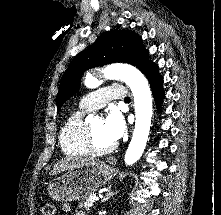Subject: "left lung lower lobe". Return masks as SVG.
Listing matches in <instances>:
<instances>
[{
	"label": "left lung lower lobe",
	"instance_id": "0a47b994",
	"mask_svg": "<svg viewBox=\"0 0 221 215\" xmlns=\"http://www.w3.org/2000/svg\"><path fill=\"white\" fill-rule=\"evenodd\" d=\"M147 79L149 80L153 96L156 100V106L159 108L162 99L164 98V90L162 88V77L158 72V67L156 64L150 65L147 69L143 71Z\"/></svg>",
	"mask_w": 221,
	"mask_h": 215
}]
</instances>
